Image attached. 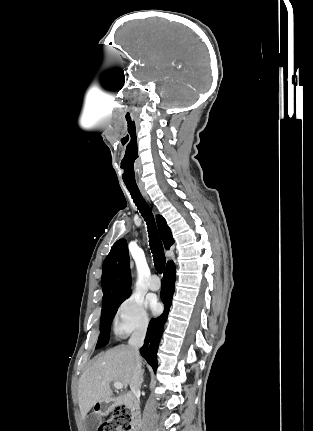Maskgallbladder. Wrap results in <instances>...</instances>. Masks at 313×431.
I'll return each instance as SVG.
<instances>
[{"mask_svg":"<svg viewBox=\"0 0 313 431\" xmlns=\"http://www.w3.org/2000/svg\"><path fill=\"white\" fill-rule=\"evenodd\" d=\"M100 422H101V418L97 415L89 417L86 420L87 431H91L92 429H94Z\"/></svg>","mask_w":313,"mask_h":431,"instance_id":"1","label":"gallbladder"}]
</instances>
